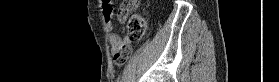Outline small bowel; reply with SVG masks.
Returning <instances> with one entry per match:
<instances>
[{"instance_id": "obj_1", "label": "small bowel", "mask_w": 279, "mask_h": 82, "mask_svg": "<svg viewBox=\"0 0 279 82\" xmlns=\"http://www.w3.org/2000/svg\"><path fill=\"white\" fill-rule=\"evenodd\" d=\"M104 20L106 22V27L109 31V42L111 45L110 51L114 57V62L116 65H121L127 60L124 59L123 49L128 45L125 38L120 37L118 34L113 32L112 17L113 12L109 3L104 4L103 12Z\"/></svg>"}]
</instances>
